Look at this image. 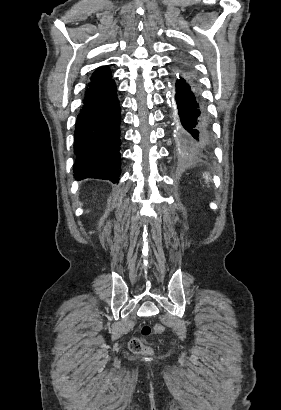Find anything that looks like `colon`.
<instances>
[{
  "mask_svg": "<svg viewBox=\"0 0 281 410\" xmlns=\"http://www.w3.org/2000/svg\"><path fill=\"white\" fill-rule=\"evenodd\" d=\"M165 328L162 324L156 323L152 327L144 325L141 328V337H133L129 341V349L135 355H146L150 353V348L146 345L145 338H153L164 333Z\"/></svg>",
  "mask_w": 281,
  "mask_h": 410,
  "instance_id": "colon-1",
  "label": "colon"
}]
</instances>
